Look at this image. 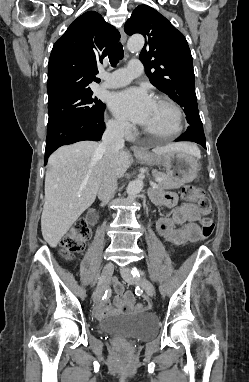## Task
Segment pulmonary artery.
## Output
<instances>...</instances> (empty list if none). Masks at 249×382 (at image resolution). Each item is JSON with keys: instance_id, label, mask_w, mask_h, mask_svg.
<instances>
[{"instance_id": "obj_1", "label": "pulmonary artery", "mask_w": 249, "mask_h": 382, "mask_svg": "<svg viewBox=\"0 0 249 382\" xmlns=\"http://www.w3.org/2000/svg\"><path fill=\"white\" fill-rule=\"evenodd\" d=\"M143 71V64L140 60H130L125 68H120L113 73H101L104 88H119L129 84Z\"/></svg>"}]
</instances>
